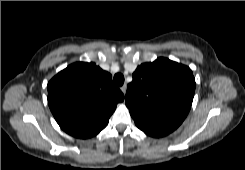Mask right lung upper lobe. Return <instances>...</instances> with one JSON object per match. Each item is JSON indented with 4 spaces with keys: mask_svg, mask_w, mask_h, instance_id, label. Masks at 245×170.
Returning <instances> with one entry per match:
<instances>
[{
    "mask_svg": "<svg viewBox=\"0 0 245 170\" xmlns=\"http://www.w3.org/2000/svg\"><path fill=\"white\" fill-rule=\"evenodd\" d=\"M123 93L95 63L71 64L48 83V104L59 126L76 138L97 135L108 124Z\"/></svg>",
    "mask_w": 245,
    "mask_h": 170,
    "instance_id": "1",
    "label": "right lung upper lobe"
}]
</instances>
